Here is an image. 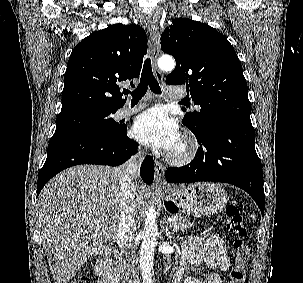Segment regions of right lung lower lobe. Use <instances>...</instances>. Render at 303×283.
Instances as JSON below:
<instances>
[{
    "label": "right lung lower lobe",
    "instance_id": "right-lung-lower-lobe-1",
    "mask_svg": "<svg viewBox=\"0 0 303 283\" xmlns=\"http://www.w3.org/2000/svg\"><path fill=\"white\" fill-rule=\"evenodd\" d=\"M126 129L110 136L82 132L53 135L47 159L38 176L37 196L54 175L68 167L80 164L118 166L127 161L137 152V143L128 138ZM140 176L147 184L153 182L154 161L151 156L145 157Z\"/></svg>",
    "mask_w": 303,
    "mask_h": 283
}]
</instances>
